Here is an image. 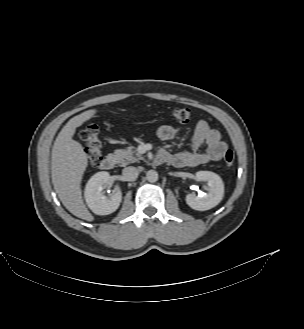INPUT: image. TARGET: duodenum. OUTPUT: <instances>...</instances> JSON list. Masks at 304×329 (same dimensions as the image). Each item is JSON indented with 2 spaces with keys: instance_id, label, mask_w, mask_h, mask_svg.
I'll return each mask as SVG.
<instances>
[{
  "instance_id": "1",
  "label": "duodenum",
  "mask_w": 304,
  "mask_h": 329,
  "mask_svg": "<svg viewBox=\"0 0 304 329\" xmlns=\"http://www.w3.org/2000/svg\"><path fill=\"white\" fill-rule=\"evenodd\" d=\"M165 157L164 153H159L158 154V159L163 160ZM116 164V158L113 155H108L104 157L100 163V168L102 170H110L112 169Z\"/></svg>"
}]
</instances>
